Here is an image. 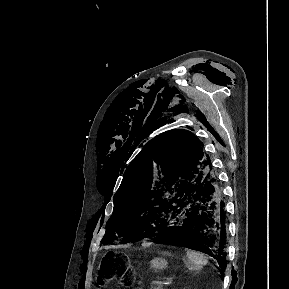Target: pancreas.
Wrapping results in <instances>:
<instances>
[{"instance_id":"1","label":"pancreas","mask_w":289,"mask_h":289,"mask_svg":"<svg viewBox=\"0 0 289 289\" xmlns=\"http://www.w3.org/2000/svg\"><path fill=\"white\" fill-rule=\"evenodd\" d=\"M150 289H161V288L158 286H152Z\"/></svg>"}]
</instances>
